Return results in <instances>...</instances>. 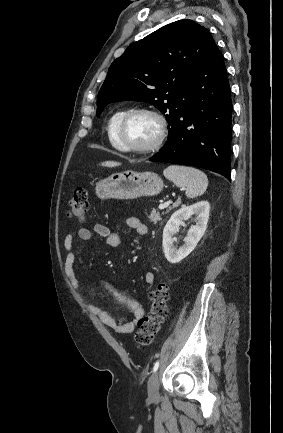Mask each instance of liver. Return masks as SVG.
I'll use <instances>...</instances> for the list:
<instances>
[{
	"instance_id": "obj_1",
	"label": "liver",
	"mask_w": 283,
	"mask_h": 433,
	"mask_svg": "<svg viewBox=\"0 0 283 433\" xmlns=\"http://www.w3.org/2000/svg\"><path fill=\"white\" fill-rule=\"evenodd\" d=\"M102 166H118L121 162H115V160H105V162H101Z\"/></svg>"
}]
</instances>
